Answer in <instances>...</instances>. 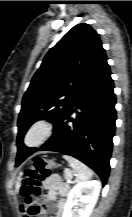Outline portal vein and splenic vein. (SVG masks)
<instances>
[{
	"instance_id": "portal-vein-and-splenic-vein-1",
	"label": "portal vein and splenic vein",
	"mask_w": 132,
	"mask_h": 217,
	"mask_svg": "<svg viewBox=\"0 0 132 217\" xmlns=\"http://www.w3.org/2000/svg\"><path fill=\"white\" fill-rule=\"evenodd\" d=\"M71 178H72V175L70 173H67V182L68 183H71Z\"/></svg>"
}]
</instances>
